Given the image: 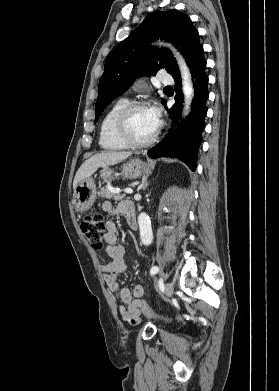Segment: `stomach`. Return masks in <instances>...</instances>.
Here are the masks:
<instances>
[{
  "mask_svg": "<svg viewBox=\"0 0 279 391\" xmlns=\"http://www.w3.org/2000/svg\"><path fill=\"white\" fill-rule=\"evenodd\" d=\"M113 169L109 166L102 167L100 176L105 181L111 177ZM149 166L138 158L130 159L122 166V176L124 178L136 179L142 175H148L150 173ZM97 197V190L92 178L80 182L73 195V204L77 212L83 213L91 208Z\"/></svg>",
  "mask_w": 279,
  "mask_h": 391,
  "instance_id": "stomach-1",
  "label": "stomach"
}]
</instances>
